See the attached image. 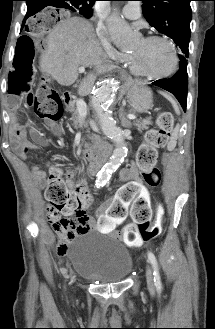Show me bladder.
<instances>
[{
  "mask_svg": "<svg viewBox=\"0 0 215 329\" xmlns=\"http://www.w3.org/2000/svg\"><path fill=\"white\" fill-rule=\"evenodd\" d=\"M68 249L77 273L93 282H120L132 272V255L115 236L97 231L84 232L69 244Z\"/></svg>",
  "mask_w": 215,
  "mask_h": 329,
  "instance_id": "1",
  "label": "bladder"
}]
</instances>
